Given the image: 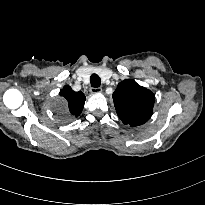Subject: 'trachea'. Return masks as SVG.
<instances>
[{"instance_id": "1", "label": "trachea", "mask_w": 205, "mask_h": 205, "mask_svg": "<svg viewBox=\"0 0 205 205\" xmlns=\"http://www.w3.org/2000/svg\"><path fill=\"white\" fill-rule=\"evenodd\" d=\"M91 86L96 88L101 84V79L97 74H92L90 77Z\"/></svg>"}]
</instances>
